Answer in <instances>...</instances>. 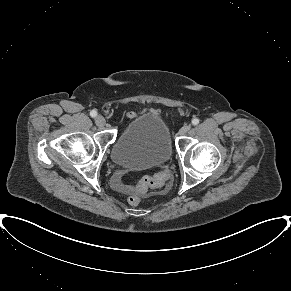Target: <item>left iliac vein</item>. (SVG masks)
I'll return each instance as SVG.
<instances>
[{"instance_id":"1","label":"left iliac vein","mask_w":291,"mask_h":291,"mask_svg":"<svg viewBox=\"0 0 291 291\" xmlns=\"http://www.w3.org/2000/svg\"><path fill=\"white\" fill-rule=\"evenodd\" d=\"M191 129V126L190 125H184L180 131H179V134L180 135H185L189 130Z\"/></svg>"}]
</instances>
